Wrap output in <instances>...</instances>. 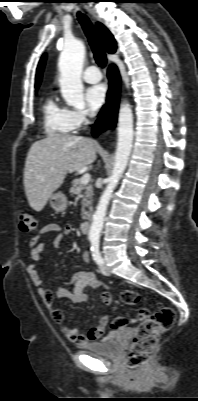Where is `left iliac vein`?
Segmentation results:
<instances>
[{"mask_svg":"<svg viewBox=\"0 0 198 401\" xmlns=\"http://www.w3.org/2000/svg\"><path fill=\"white\" fill-rule=\"evenodd\" d=\"M100 271L105 276H109L110 275V270L107 267L105 261L100 265Z\"/></svg>","mask_w":198,"mask_h":401,"instance_id":"left-iliac-vein-1","label":"left iliac vein"}]
</instances>
